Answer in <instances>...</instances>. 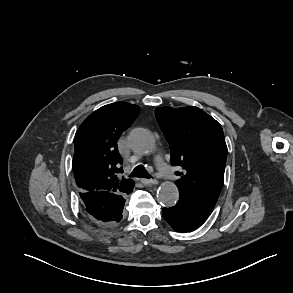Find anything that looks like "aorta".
I'll return each mask as SVG.
<instances>
[{
	"mask_svg": "<svg viewBox=\"0 0 293 293\" xmlns=\"http://www.w3.org/2000/svg\"><path fill=\"white\" fill-rule=\"evenodd\" d=\"M131 148L140 154H150L155 149V138L153 134L143 128L134 129L129 135ZM157 198L159 202L166 206H174L179 199L177 186L172 182H164L160 185Z\"/></svg>",
	"mask_w": 293,
	"mask_h": 293,
	"instance_id": "aorta-1",
	"label": "aorta"
}]
</instances>
